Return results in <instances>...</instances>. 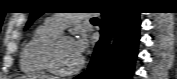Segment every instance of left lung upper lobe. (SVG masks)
Listing matches in <instances>:
<instances>
[{
	"label": "left lung upper lobe",
	"instance_id": "1",
	"mask_svg": "<svg viewBox=\"0 0 177 79\" xmlns=\"http://www.w3.org/2000/svg\"><path fill=\"white\" fill-rule=\"evenodd\" d=\"M43 14V12H40V11H33L31 12V15H30V18H29V21L27 22L26 24V29L32 24V22L37 19L39 16H41Z\"/></svg>",
	"mask_w": 177,
	"mask_h": 79
}]
</instances>
